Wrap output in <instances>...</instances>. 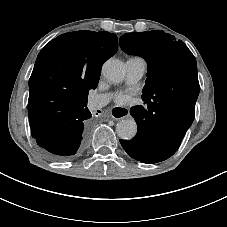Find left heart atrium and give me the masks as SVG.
I'll list each match as a JSON object with an SVG mask.
<instances>
[{
  "instance_id": "39dd6f15",
  "label": "left heart atrium",
  "mask_w": 227,
  "mask_h": 227,
  "mask_svg": "<svg viewBox=\"0 0 227 227\" xmlns=\"http://www.w3.org/2000/svg\"><path fill=\"white\" fill-rule=\"evenodd\" d=\"M119 101L123 104H126L130 101V97L127 96V95H123V96L120 97Z\"/></svg>"
}]
</instances>
